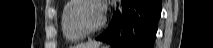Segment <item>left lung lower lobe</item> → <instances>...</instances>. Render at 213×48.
<instances>
[{
  "mask_svg": "<svg viewBox=\"0 0 213 48\" xmlns=\"http://www.w3.org/2000/svg\"><path fill=\"white\" fill-rule=\"evenodd\" d=\"M160 13L161 0H121L97 40L115 48H153Z\"/></svg>",
  "mask_w": 213,
  "mask_h": 48,
  "instance_id": "obj_1",
  "label": "left lung lower lobe"
}]
</instances>
